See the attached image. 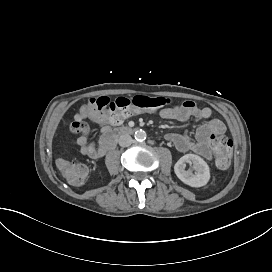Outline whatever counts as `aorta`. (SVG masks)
I'll return each mask as SVG.
<instances>
[{
	"label": "aorta",
	"instance_id": "aorta-1",
	"mask_svg": "<svg viewBox=\"0 0 272 272\" xmlns=\"http://www.w3.org/2000/svg\"><path fill=\"white\" fill-rule=\"evenodd\" d=\"M146 132L142 129L135 131L134 138L136 141H143L146 138Z\"/></svg>",
	"mask_w": 272,
	"mask_h": 272
}]
</instances>
